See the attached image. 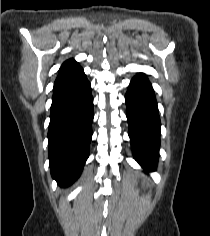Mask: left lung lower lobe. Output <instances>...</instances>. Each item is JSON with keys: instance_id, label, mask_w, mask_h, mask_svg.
I'll return each mask as SVG.
<instances>
[{"instance_id": "0a47b994", "label": "left lung lower lobe", "mask_w": 210, "mask_h": 236, "mask_svg": "<svg viewBox=\"0 0 210 236\" xmlns=\"http://www.w3.org/2000/svg\"><path fill=\"white\" fill-rule=\"evenodd\" d=\"M129 137L135 159L155 170L160 145V119L154 91L143 74L135 76L125 96Z\"/></svg>"}]
</instances>
